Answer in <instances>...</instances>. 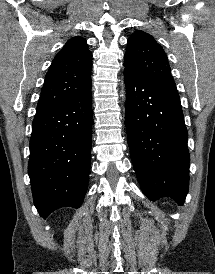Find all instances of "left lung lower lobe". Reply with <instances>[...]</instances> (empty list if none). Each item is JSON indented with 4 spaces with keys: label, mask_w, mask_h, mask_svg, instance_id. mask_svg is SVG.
Segmentation results:
<instances>
[{
    "label": "left lung lower lobe",
    "mask_w": 215,
    "mask_h": 274,
    "mask_svg": "<svg viewBox=\"0 0 215 274\" xmlns=\"http://www.w3.org/2000/svg\"><path fill=\"white\" fill-rule=\"evenodd\" d=\"M131 160L145 196L183 205L189 187L188 133L177 89L124 70Z\"/></svg>",
    "instance_id": "obj_1"
}]
</instances>
